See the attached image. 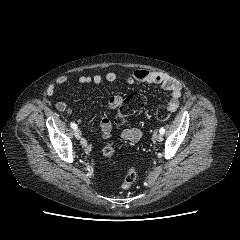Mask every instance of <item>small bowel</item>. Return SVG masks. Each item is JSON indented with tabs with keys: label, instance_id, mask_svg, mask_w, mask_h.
<instances>
[{
	"label": "small bowel",
	"instance_id": "obj_1",
	"mask_svg": "<svg viewBox=\"0 0 240 240\" xmlns=\"http://www.w3.org/2000/svg\"><path fill=\"white\" fill-rule=\"evenodd\" d=\"M117 79V75L114 72H107L105 75L94 74V75H81L78 78L79 83L89 84L95 83L99 84L103 80L108 82H113ZM68 77L61 76L52 84L48 89V94L52 95L55 91V88L59 85L67 83ZM126 81L130 85H135L137 83L153 84L158 85L164 90L170 92V98L167 102V108L170 112H175L179 107V101L182 96V87L178 80L172 76L157 71H150L146 69H138L134 72L126 75ZM123 98L120 95L111 96L108 99L107 106L110 110H118L123 105ZM55 107L58 111L64 112L67 114H72V109L63 101H58L55 104ZM76 123H80L81 120L77 119ZM100 130L102 132V137L104 140H108L111 137L112 132V123L110 119L103 118L100 121ZM143 135V131L139 128L132 127L126 128L122 132L123 139L131 142L138 141ZM81 144L86 152L92 150V145L88 143L85 139H82Z\"/></svg>",
	"mask_w": 240,
	"mask_h": 240
}]
</instances>
